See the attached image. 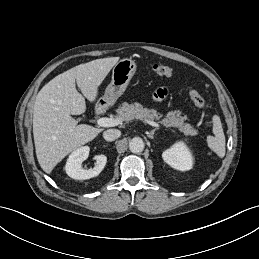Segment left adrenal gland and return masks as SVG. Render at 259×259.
I'll list each match as a JSON object with an SVG mask.
<instances>
[{"mask_svg": "<svg viewBox=\"0 0 259 259\" xmlns=\"http://www.w3.org/2000/svg\"><path fill=\"white\" fill-rule=\"evenodd\" d=\"M156 130H157V128L153 129L151 132H147V136L149 138L153 139L154 138V133H155Z\"/></svg>", "mask_w": 259, "mask_h": 259, "instance_id": "1", "label": "left adrenal gland"}]
</instances>
